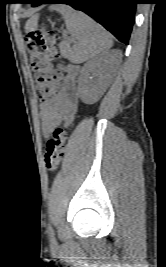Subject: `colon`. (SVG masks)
Returning <instances> with one entry per match:
<instances>
[{"instance_id": "5ec220e1", "label": "colon", "mask_w": 166, "mask_h": 267, "mask_svg": "<svg viewBox=\"0 0 166 267\" xmlns=\"http://www.w3.org/2000/svg\"><path fill=\"white\" fill-rule=\"evenodd\" d=\"M62 33L58 30L39 27L29 31L26 47L30 64L37 77V87L43 100L52 98L60 75L52 70V63L59 58L57 42ZM67 131L63 126L57 127L46 144L44 153L45 167L55 170L65 153Z\"/></svg>"}]
</instances>
